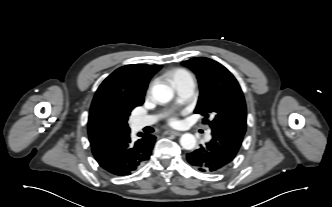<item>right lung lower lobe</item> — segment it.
<instances>
[{
	"label": "right lung lower lobe",
	"instance_id": "right-lung-lower-lobe-1",
	"mask_svg": "<svg viewBox=\"0 0 332 207\" xmlns=\"http://www.w3.org/2000/svg\"><path fill=\"white\" fill-rule=\"evenodd\" d=\"M137 141H132L130 130L107 141L92 145V152L99 165L116 176H126L135 172L149 159L156 137L139 134Z\"/></svg>",
	"mask_w": 332,
	"mask_h": 207
}]
</instances>
